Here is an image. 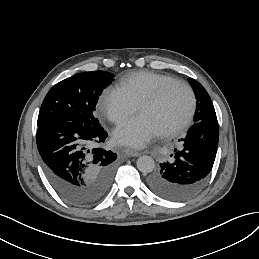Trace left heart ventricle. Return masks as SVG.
<instances>
[{
	"label": "left heart ventricle",
	"instance_id": "obj_1",
	"mask_svg": "<svg viewBox=\"0 0 259 259\" xmlns=\"http://www.w3.org/2000/svg\"><path fill=\"white\" fill-rule=\"evenodd\" d=\"M188 91L176 85L172 87L162 98L153 106L144 107L139 116L146 118L161 133L174 127L186 115L189 108Z\"/></svg>",
	"mask_w": 259,
	"mask_h": 259
}]
</instances>
